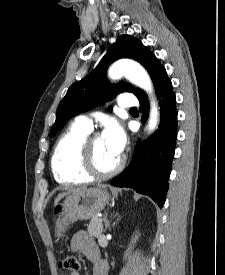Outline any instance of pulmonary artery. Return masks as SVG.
I'll use <instances>...</instances> for the list:
<instances>
[{"mask_svg":"<svg viewBox=\"0 0 225 275\" xmlns=\"http://www.w3.org/2000/svg\"><path fill=\"white\" fill-rule=\"evenodd\" d=\"M118 105L121 108H134L138 105V100L130 93H121L118 96ZM75 123L88 129H92V120L85 115H79L75 118Z\"/></svg>","mask_w":225,"mask_h":275,"instance_id":"obj_1","label":"pulmonary artery"}]
</instances>
